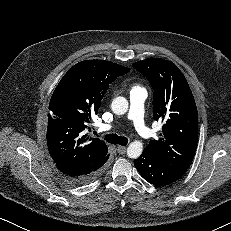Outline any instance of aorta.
Returning a JSON list of instances; mask_svg holds the SVG:
<instances>
[{"mask_svg":"<svg viewBox=\"0 0 231 231\" xmlns=\"http://www.w3.org/2000/svg\"><path fill=\"white\" fill-rule=\"evenodd\" d=\"M112 111L116 115H123L128 110V101L124 97H116L111 104ZM143 151V144L140 141H133L127 148V155L129 158H138Z\"/></svg>","mask_w":231,"mask_h":231,"instance_id":"obj_1","label":"aorta"}]
</instances>
